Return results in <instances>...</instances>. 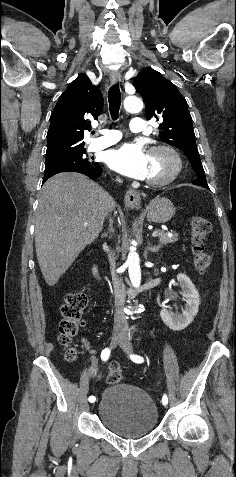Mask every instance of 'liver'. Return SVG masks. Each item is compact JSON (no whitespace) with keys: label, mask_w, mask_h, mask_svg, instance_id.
I'll list each match as a JSON object with an SVG mask.
<instances>
[{"label":"liver","mask_w":236,"mask_h":477,"mask_svg":"<svg viewBox=\"0 0 236 477\" xmlns=\"http://www.w3.org/2000/svg\"><path fill=\"white\" fill-rule=\"evenodd\" d=\"M114 207L109 193L82 174L60 173L45 182L35 219V247L49 286L99 236Z\"/></svg>","instance_id":"6515ba94"}]
</instances>
